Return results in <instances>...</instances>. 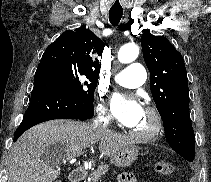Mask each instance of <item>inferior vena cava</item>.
<instances>
[{
  "label": "inferior vena cava",
  "mask_w": 211,
  "mask_h": 182,
  "mask_svg": "<svg viewBox=\"0 0 211 182\" xmlns=\"http://www.w3.org/2000/svg\"><path fill=\"white\" fill-rule=\"evenodd\" d=\"M95 127H99V131H106L108 125V118L107 117H99L94 121L93 124Z\"/></svg>",
  "instance_id": "602c4592"
}]
</instances>
